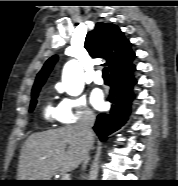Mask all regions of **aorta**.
I'll return each mask as SVG.
<instances>
[{
  "mask_svg": "<svg viewBox=\"0 0 178 186\" xmlns=\"http://www.w3.org/2000/svg\"><path fill=\"white\" fill-rule=\"evenodd\" d=\"M62 83L65 91L71 96H78L84 88L83 69L77 60L68 61L62 73Z\"/></svg>",
  "mask_w": 178,
  "mask_h": 186,
  "instance_id": "obj_1",
  "label": "aorta"
}]
</instances>
